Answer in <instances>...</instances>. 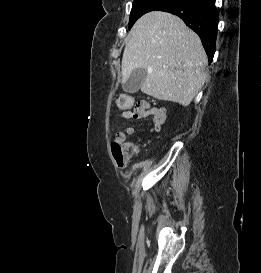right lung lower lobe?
Returning a JSON list of instances; mask_svg holds the SVG:
<instances>
[{"label": "right lung lower lobe", "instance_id": "1", "mask_svg": "<svg viewBox=\"0 0 261 273\" xmlns=\"http://www.w3.org/2000/svg\"><path fill=\"white\" fill-rule=\"evenodd\" d=\"M160 11L172 13L184 20L199 35L209 62H212L219 21L215 0H166Z\"/></svg>", "mask_w": 261, "mask_h": 273}]
</instances>
